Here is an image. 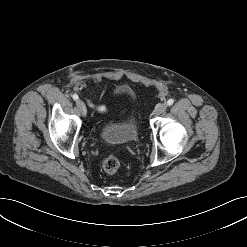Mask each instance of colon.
<instances>
[{
  "instance_id": "1",
  "label": "colon",
  "mask_w": 247,
  "mask_h": 247,
  "mask_svg": "<svg viewBox=\"0 0 247 247\" xmlns=\"http://www.w3.org/2000/svg\"><path fill=\"white\" fill-rule=\"evenodd\" d=\"M121 166L119 157L115 155H109L102 161L103 170L109 174L116 173Z\"/></svg>"
}]
</instances>
